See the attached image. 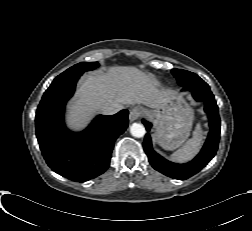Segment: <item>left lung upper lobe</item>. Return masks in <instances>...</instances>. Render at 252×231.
<instances>
[{
	"mask_svg": "<svg viewBox=\"0 0 252 231\" xmlns=\"http://www.w3.org/2000/svg\"><path fill=\"white\" fill-rule=\"evenodd\" d=\"M172 73L178 80L179 85L182 87L205 84V82L198 75L192 72L182 69H172Z\"/></svg>",
	"mask_w": 252,
	"mask_h": 231,
	"instance_id": "5c2ea615",
	"label": "left lung upper lobe"
}]
</instances>
